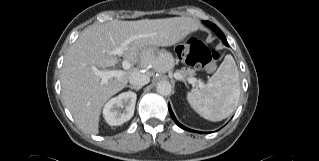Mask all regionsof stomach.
Listing matches in <instances>:
<instances>
[{
	"mask_svg": "<svg viewBox=\"0 0 319 161\" xmlns=\"http://www.w3.org/2000/svg\"><path fill=\"white\" fill-rule=\"evenodd\" d=\"M142 56L152 60L161 72H167L174 67L173 55L166 50L148 47L144 49Z\"/></svg>",
	"mask_w": 319,
	"mask_h": 161,
	"instance_id": "1",
	"label": "stomach"
}]
</instances>
